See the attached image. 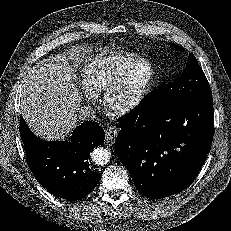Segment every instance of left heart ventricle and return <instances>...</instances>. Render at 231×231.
Masks as SVG:
<instances>
[{
	"instance_id": "left-heart-ventricle-1",
	"label": "left heart ventricle",
	"mask_w": 231,
	"mask_h": 231,
	"mask_svg": "<svg viewBox=\"0 0 231 231\" xmlns=\"http://www.w3.org/2000/svg\"><path fill=\"white\" fill-rule=\"evenodd\" d=\"M148 77H149V69L146 66L136 71L128 83L125 95L126 96L133 95L138 89H140L147 82Z\"/></svg>"
}]
</instances>
